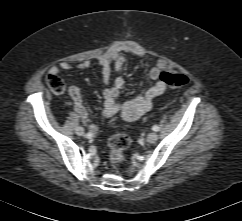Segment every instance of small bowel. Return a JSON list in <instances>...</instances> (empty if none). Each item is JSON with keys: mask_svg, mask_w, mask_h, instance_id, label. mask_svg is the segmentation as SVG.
I'll return each mask as SVG.
<instances>
[{"mask_svg": "<svg viewBox=\"0 0 242 221\" xmlns=\"http://www.w3.org/2000/svg\"><path fill=\"white\" fill-rule=\"evenodd\" d=\"M124 53H131L140 57L146 55L145 49L139 44L124 41L114 45L98 59L102 73V80L105 85L103 90V115L106 118L118 115L122 120L135 121L152 108L154 98L165 92L166 85L159 79L161 73L160 69L153 67L147 74L148 79L153 81L152 86L139 96L119 101L118 97L124 86V79L122 76L117 75L112 84H110V79L112 70L118 73L123 69L125 64ZM89 66V60H82L75 64L63 61L58 66L51 67L50 73L58 74L60 70H83ZM69 95L81 121L90 131L93 133L97 132L98 127L91 121L87 109L84 106L80 88L77 86H71L69 88Z\"/></svg>", "mask_w": 242, "mask_h": 221, "instance_id": "obj_1", "label": "small bowel"}]
</instances>
